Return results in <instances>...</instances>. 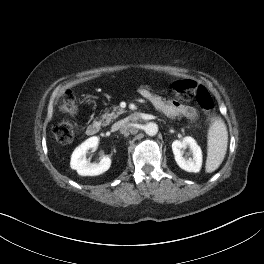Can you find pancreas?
Instances as JSON below:
<instances>
[{
    "label": "pancreas",
    "mask_w": 264,
    "mask_h": 264,
    "mask_svg": "<svg viewBox=\"0 0 264 264\" xmlns=\"http://www.w3.org/2000/svg\"><path fill=\"white\" fill-rule=\"evenodd\" d=\"M125 113V110L120 108L119 106H114L111 112L107 111L102 115V125L107 126L116 119L119 115Z\"/></svg>",
    "instance_id": "cf45deb5"
}]
</instances>
